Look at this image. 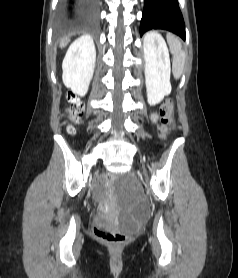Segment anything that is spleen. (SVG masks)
Masks as SVG:
<instances>
[{
	"label": "spleen",
	"mask_w": 238,
	"mask_h": 278,
	"mask_svg": "<svg viewBox=\"0 0 238 278\" xmlns=\"http://www.w3.org/2000/svg\"><path fill=\"white\" fill-rule=\"evenodd\" d=\"M167 42L170 47V51L173 55V64H172L173 74L174 77L178 79L183 72L184 63H185V53L182 50L181 42L174 35L168 34Z\"/></svg>",
	"instance_id": "1"
}]
</instances>
